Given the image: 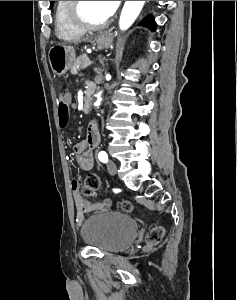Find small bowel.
<instances>
[{
	"mask_svg": "<svg viewBox=\"0 0 237 300\" xmlns=\"http://www.w3.org/2000/svg\"><path fill=\"white\" fill-rule=\"evenodd\" d=\"M87 89L92 90V85L87 84ZM61 99H65L68 104H70L72 96L70 93H64L63 98L60 97V100ZM99 143V125L98 122L94 120L89 124L87 128L86 137L73 146V153L80 169L88 171L92 168V153L93 150L99 145ZM71 188L75 197L77 208L76 219L79 224L82 223L85 213L96 210H105L110 207L109 200H103L94 204H87L86 202H84L83 198L79 194V182L77 180H73L71 182Z\"/></svg>",
	"mask_w": 237,
	"mask_h": 300,
	"instance_id": "small-bowel-1",
	"label": "small bowel"
}]
</instances>
